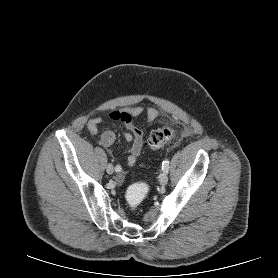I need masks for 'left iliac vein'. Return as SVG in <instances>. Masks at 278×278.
I'll return each instance as SVG.
<instances>
[{"label":"left iliac vein","mask_w":278,"mask_h":278,"mask_svg":"<svg viewBox=\"0 0 278 278\" xmlns=\"http://www.w3.org/2000/svg\"><path fill=\"white\" fill-rule=\"evenodd\" d=\"M168 182V175L166 172H162L160 175H159V183L161 185H166Z\"/></svg>","instance_id":"4c4485c4"}]
</instances>
